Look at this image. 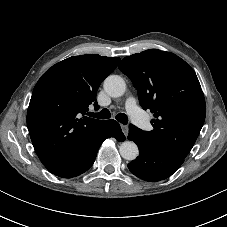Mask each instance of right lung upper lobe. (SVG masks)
<instances>
[{
  "label": "right lung upper lobe",
  "mask_w": 227,
  "mask_h": 227,
  "mask_svg": "<svg viewBox=\"0 0 227 227\" xmlns=\"http://www.w3.org/2000/svg\"><path fill=\"white\" fill-rule=\"evenodd\" d=\"M119 61L97 54L72 56L38 80L27 125L34 149L51 173L69 163L107 123L86 112L90 104L97 106V89Z\"/></svg>",
  "instance_id": "1"
}]
</instances>
